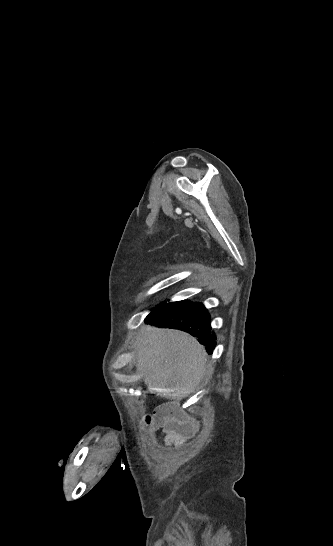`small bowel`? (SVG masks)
Here are the masks:
<instances>
[{"instance_id":"c3829d8e","label":"small bowel","mask_w":333,"mask_h":546,"mask_svg":"<svg viewBox=\"0 0 333 546\" xmlns=\"http://www.w3.org/2000/svg\"><path fill=\"white\" fill-rule=\"evenodd\" d=\"M154 426H161L164 433L165 446H180L188 438L194 435L198 429V423L190 418L176 417L164 419L159 416L153 418Z\"/></svg>"}]
</instances>
